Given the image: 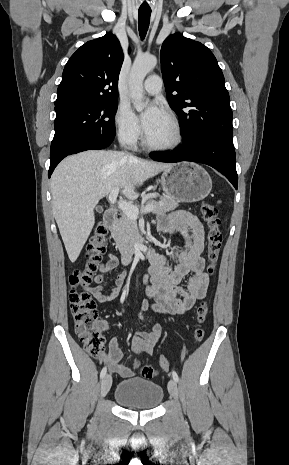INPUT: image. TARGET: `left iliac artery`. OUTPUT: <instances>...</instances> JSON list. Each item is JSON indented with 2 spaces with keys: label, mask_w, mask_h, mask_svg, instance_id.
Masks as SVG:
<instances>
[{
  "label": "left iliac artery",
  "mask_w": 289,
  "mask_h": 465,
  "mask_svg": "<svg viewBox=\"0 0 289 465\" xmlns=\"http://www.w3.org/2000/svg\"><path fill=\"white\" fill-rule=\"evenodd\" d=\"M172 377L176 382L179 381V377H178L177 373L174 370L172 371Z\"/></svg>",
  "instance_id": "obj_1"
}]
</instances>
